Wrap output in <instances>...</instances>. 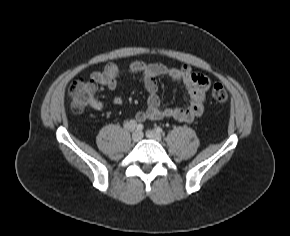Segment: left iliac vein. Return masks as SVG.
<instances>
[{
	"mask_svg": "<svg viewBox=\"0 0 290 236\" xmlns=\"http://www.w3.org/2000/svg\"><path fill=\"white\" fill-rule=\"evenodd\" d=\"M146 136L149 139L157 141V142H160L161 139H162L161 135L158 132H156L155 130H147L146 131Z\"/></svg>",
	"mask_w": 290,
	"mask_h": 236,
	"instance_id": "1",
	"label": "left iliac vein"
}]
</instances>
